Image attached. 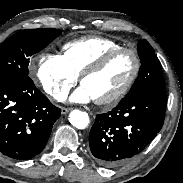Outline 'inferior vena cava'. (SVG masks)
Returning a JSON list of instances; mask_svg holds the SVG:
<instances>
[{"instance_id":"obj_1","label":"inferior vena cava","mask_w":183,"mask_h":183,"mask_svg":"<svg viewBox=\"0 0 183 183\" xmlns=\"http://www.w3.org/2000/svg\"><path fill=\"white\" fill-rule=\"evenodd\" d=\"M67 98V95L66 94H61L58 96L57 100L60 101V102H63L65 101Z\"/></svg>"}]
</instances>
